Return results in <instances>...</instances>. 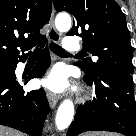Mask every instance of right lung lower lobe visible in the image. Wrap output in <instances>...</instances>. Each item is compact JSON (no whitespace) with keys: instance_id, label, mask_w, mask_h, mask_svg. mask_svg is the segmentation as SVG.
I'll return each instance as SVG.
<instances>
[{"instance_id":"obj_1","label":"right lung lower lobe","mask_w":136,"mask_h":136,"mask_svg":"<svg viewBox=\"0 0 136 136\" xmlns=\"http://www.w3.org/2000/svg\"><path fill=\"white\" fill-rule=\"evenodd\" d=\"M45 42L40 46H44ZM27 57L19 60L24 62ZM18 61V62H19ZM11 75L0 77V125L9 126L30 136H41L49 104L43 89L24 92L22 82L16 81L15 69ZM50 64L48 49L43 50L33 72L23 80L42 77Z\"/></svg>"}]
</instances>
